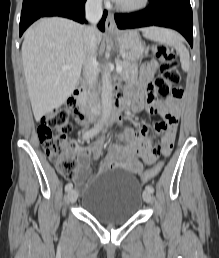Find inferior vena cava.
Segmentation results:
<instances>
[{"instance_id":"1","label":"inferior vena cava","mask_w":219,"mask_h":258,"mask_svg":"<svg viewBox=\"0 0 219 258\" xmlns=\"http://www.w3.org/2000/svg\"><path fill=\"white\" fill-rule=\"evenodd\" d=\"M86 19L91 23V25L85 27L83 32V38L88 52L91 57L85 64V79L88 84V101L90 105L95 103L96 93L94 91L96 82V71L95 64L96 59L93 57V52L96 48V34L97 28L96 24L102 17V0H87L85 4Z\"/></svg>"}]
</instances>
